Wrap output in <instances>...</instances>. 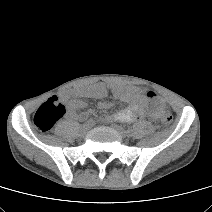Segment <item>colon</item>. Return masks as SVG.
I'll use <instances>...</instances> for the list:
<instances>
[{"label": "colon", "mask_w": 212, "mask_h": 212, "mask_svg": "<svg viewBox=\"0 0 212 212\" xmlns=\"http://www.w3.org/2000/svg\"><path fill=\"white\" fill-rule=\"evenodd\" d=\"M146 95L155 100L157 104L159 103V99L153 91H147ZM65 112V106L56 97H50L36 110L33 117L34 125L39 131L47 132L55 126ZM162 122L165 125H170L173 122V116L170 113H165L162 116Z\"/></svg>", "instance_id": "colon-1"}]
</instances>
